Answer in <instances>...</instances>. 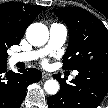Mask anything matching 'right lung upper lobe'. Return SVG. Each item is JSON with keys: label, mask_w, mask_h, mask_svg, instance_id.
I'll return each mask as SVG.
<instances>
[{"label": "right lung upper lobe", "mask_w": 108, "mask_h": 108, "mask_svg": "<svg viewBox=\"0 0 108 108\" xmlns=\"http://www.w3.org/2000/svg\"><path fill=\"white\" fill-rule=\"evenodd\" d=\"M42 11L37 5L6 2L0 5V35L10 43L18 44L26 28Z\"/></svg>", "instance_id": "obj_1"}]
</instances>
